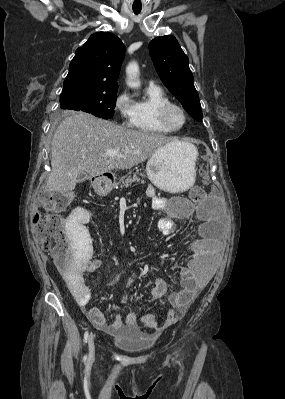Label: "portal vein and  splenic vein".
Listing matches in <instances>:
<instances>
[{
    "label": "portal vein and splenic vein",
    "mask_w": 285,
    "mask_h": 399,
    "mask_svg": "<svg viewBox=\"0 0 285 399\" xmlns=\"http://www.w3.org/2000/svg\"><path fill=\"white\" fill-rule=\"evenodd\" d=\"M106 156H108V157H123L118 152L112 151V150L107 151Z\"/></svg>",
    "instance_id": "portal-vein-and-splenic-vein-1"
}]
</instances>
